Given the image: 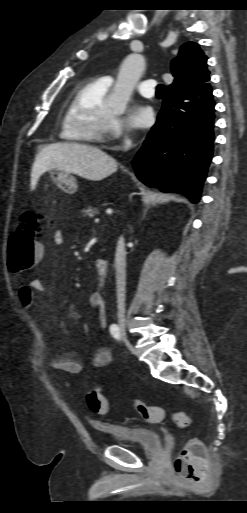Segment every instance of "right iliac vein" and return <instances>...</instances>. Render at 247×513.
Listing matches in <instances>:
<instances>
[{"label":"right iliac vein","instance_id":"1","mask_svg":"<svg viewBox=\"0 0 247 513\" xmlns=\"http://www.w3.org/2000/svg\"><path fill=\"white\" fill-rule=\"evenodd\" d=\"M119 327H120L121 334H122V337L124 339V342L131 349V351H134V349L132 347V344H131V342H130V340L128 338L127 332H126V323L125 322H120Z\"/></svg>","mask_w":247,"mask_h":513}]
</instances>
